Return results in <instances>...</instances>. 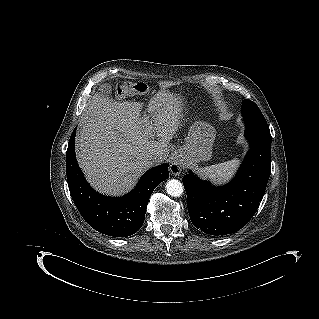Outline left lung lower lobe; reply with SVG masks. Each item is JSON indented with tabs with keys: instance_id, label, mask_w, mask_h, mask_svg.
Returning <instances> with one entry per match:
<instances>
[{
	"instance_id": "1",
	"label": "left lung lower lobe",
	"mask_w": 319,
	"mask_h": 319,
	"mask_svg": "<svg viewBox=\"0 0 319 319\" xmlns=\"http://www.w3.org/2000/svg\"><path fill=\"white\" fill-rule=\"evenodd\" d=\"M250 143L237 175L229 184L213 187L192 172L183 177L189 216L197 229L227 235L245 226L257 211L270 175V130L246 128Z\"/></svg>"
}]
</instances>
